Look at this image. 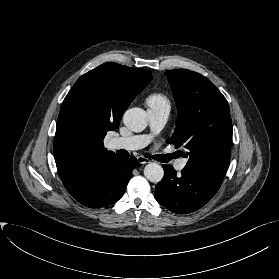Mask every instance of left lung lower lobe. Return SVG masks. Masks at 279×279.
<instances>
[{
	"instance_id": "1",
	"label": "left lung lower lobe",
	"mask_w": 279,
	"mask_h": 279,
	"mask_svg": "<svg viewBox=\"0 0 279 279\" xmlns=\"http://www.w3.org/2000/svg\"><path fill=\"white\" fill-rule=\"evenodd\" d=\"M163 169L164 177L156 186L155 197L174 213L187 214L201 208L220 188L201 175L182 170L178 176L168 164Z\"/></svg>"
}]
</instances>
